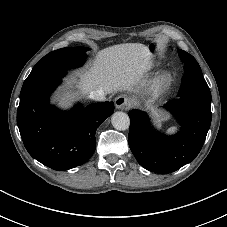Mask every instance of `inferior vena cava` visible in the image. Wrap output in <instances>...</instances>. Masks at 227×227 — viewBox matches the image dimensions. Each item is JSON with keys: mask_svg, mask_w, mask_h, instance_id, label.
Returning a JSON list of instances; mask_svg holds the SVG:
<instances>
[{"mask_svg": "<svg viewBox=\"0 0 227 227\" xmlns=\"http://www.w3.org/2000/svg\"><path fill=\"white\" fill-rule=\"evenodd\" d=\"M89 98L96 101H105V93L102 89H96L89 93Z\"/></svg>", "mask_w": 227, "mask_h": 227, "instance_id": "1", "label": "inferior vena cava"}]
</instances>
